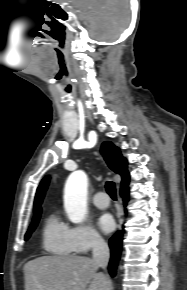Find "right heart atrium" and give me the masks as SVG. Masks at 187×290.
<instances>
[{
    "mask_svg": "<svg viewBox=\"0 0 187 290\" xmlns=\"http://www.w3.org/2000/svg\"><path fill=\"white\" fill-rule=\"evenodd\" d=\"M70 240L73 251L79 254L88 253L90 250L104 245L103 237L87 224L71 227Z\"/></svg>",
    "mask_w": 187,
    "mask_h": 290,
    "instance_id": "1",
    "label": "right heart atrium"
}]
</instances>
